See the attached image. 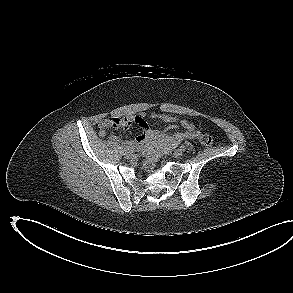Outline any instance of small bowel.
<instances>
[{
	"label": "small bowel",
	"mask_w": 293,
	"mask_h": 293,
	"mask_svg": "<svg viewBox=\"0 0 293 293\" xmlns=\"http://www.w3.org/2000/svg\"><path fill=\"white\" fill-rule=\"evenodd\" d=\"M152 118H158L165 123H176L178 119L170 114H152ZM132 124H137L142 129V134L133 140L125 141V146L141 145L148 149H153L166 143H171L175 147L184 140H195L200 138V131L188 120H181L180 125L184 128L182 132L167 133L149 128L144 114L130 117H112L101 120L98 123L100 135L103 136L107 129L124 128L128 129Z\"/></svg>",
	"instance_id": "1"
}]
</instances>
